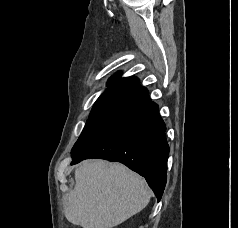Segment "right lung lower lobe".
Wrapping results in <instances>:
<instances>
[{
    "instance_id": "98d812e1",
    "label": "right lung lower lobe",
    "mask_w": 238,
    "mask_h": 228,
    "mask_svg": "<svg viewBox=\"0 0 238 228\" xmlns=\"http://www.w3.org/2000/svg\"><path fill=\"white\" fill-rule=\"evenodd\" d=\"M165 131L157 104L149 102L120 116L73 152L72 164L88 158L121 162L146 179L159 201L167 180Z\"/></svg>"
}]
</instances>
